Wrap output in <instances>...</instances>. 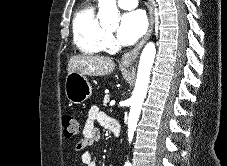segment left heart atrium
<instances>
[{"mask_svg": "<svg viewBox=\"0 0 227 166\" xmlns=\"http://www.w3.org/2000/svg\"><path fill=\"white\" fill-rule=\"evenodd\" d=\"M147 18L141 10L125 13L120 20L116 35L120 43L130 45L136 42L147 29Z\"/></svg>", "mask_w": 227, "mask_h": 166, "instance_id": "39dd6f15", "label": "left heart atrium"}]
</instances>
